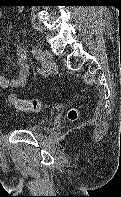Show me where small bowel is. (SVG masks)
Segmentation results:
<instances>
[{
    "instance_id": "obj_1",
    "label": "small bowel",
    "mask_w": 121,
    "mask_h": 197,
    "mask_svg": "<svg viewBox=\"0 0 121 197\" xmlns=\"http://www.w3.org/2000/svg\"><path fill=\"white\" fill-rule=\"evenodd\" d=\"M0 11V18H1ZM16 49V66L18 74L15 77H9L6 74H0V87L3 89H14L25 86L31 75V69L28 61V56L24 47L19 44L15 45Z\"/></svg>"
}]
</instances>
